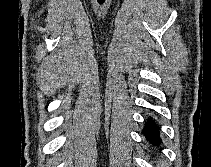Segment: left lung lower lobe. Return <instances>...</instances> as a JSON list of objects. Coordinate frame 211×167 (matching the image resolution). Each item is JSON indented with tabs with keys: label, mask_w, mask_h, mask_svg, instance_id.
Listing matches in <instances>:
<instances>
[{
	"label": "left lung lower lobe",
	"mask_w": 211,
	"mask_h": 167,
	"mask_svg": "<svg viewBox=\"0 0 211 167\" xmlns=\"http://www.w3.org/2000/svg\"><path fill=\"white\" fill-rule=\"evenodd\" d=\"M142 133L147 139V141L153 146H159L162 142L160 138L159 127L157 126L155 120L152 117L147 118V122L143 127Z\"/></svg>",
	"instance_id": "0a47b994"
}]
</instances>
